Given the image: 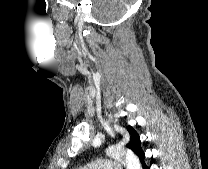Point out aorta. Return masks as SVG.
I'll return each instance as SVG.
<instances>
[{
	"label": "aorta",
	"instance_id": "obj_1",
	"mask_svg": "<svg viewBox=\"0 0 208 169\" xmlns=\"http://www.w3.org/2000/svg\"><path fill=\"white\" fill-rule=\"evenodd\" d=\"M107 156L122 161L127 169H141L139 159L130 150L120 146H110L106 150Z\"/></svg>",
	"mask_w": 208,
	"mask_h": 169
}]
</instances>
